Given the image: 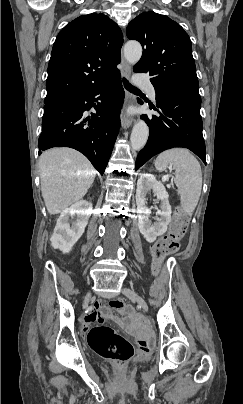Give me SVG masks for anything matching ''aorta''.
Returning <instances> with one entry per match:
<instances>
[{
  "mask_svg": "<svg viewBox=\"0 0 243 404\" xmlns=\"http://www.w3.org/2000/svg\"><path fill=\"white\" fill-rule=\"evenodd\" d=\"M123 54L126 62L134 66L139 62L142 56V46L139 42H135V40H131V42H127L123 48ZM149 136V128L143 120H138L136 124H134L130 136V144L132 150L134 152H139L144 148Z\"/></svg>",
  "mask_w": 243,
  "mask_h": 404,
  "instance_id": "obj_1",
  "label": "aorta"
}]
</instances>
